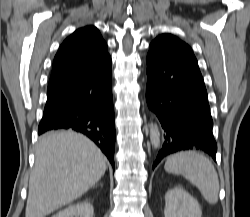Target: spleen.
Listing matches in <instances>:
<instances>
[{"label":"spleen","mask_w":250,"mask_h":217,"mask_svg":"<svg viewBox=\"0 0 250 217\" xmlns=\"http://www.w3.org/2000/svg\"><path fill=\"white\" fill-rule=\"evenodd\" d=\"M164 169L169 173L183 175L199 189L209 204L218 202V174L206 156L195 151L179 152L167 158Z\"/></svg>","instance_id":"3e777b00"}]
</instances>
